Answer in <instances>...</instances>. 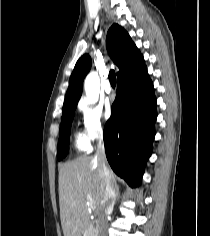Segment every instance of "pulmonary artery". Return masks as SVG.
Masks as SVG:
<instances>
[{
  "label": "pulmonary artery",
  "mask_w": 210,
  "mask_h": 236,
  "mask_svg": "<svg viewBox=\"0 0 210 236\" xmlns=\"http://www.w3.org/2000/svg\"><path fill=\"white\" fill-rule=\"evenodd\" d=\"M104 89H105V92H106L107 94H111V93H112V88H111V86H110V84H109L108 81H106V83H105V85H104Z\"/></svg>",
  "instance_id": "obj_1"
}]
</instances>
